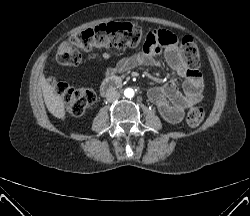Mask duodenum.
Returning a JSON list of instances; mask_svg holds the SVG:
<instances>
[{"label":"duodenum","instance_id":"1","mask_svg":"<svg viewBox=\"0 0 250 216\" xmlns=\"http://www.w3.org/2000/svg\"><path fill=\"white\" fill-rule=\"evenodd\" d=\"M122 85V81L119 78L111 77L106 79L100 87V92L102 96H106L113 90L119 88Z\"/></svg>","mask_w":250,"mask_h":216}]
</instances>
